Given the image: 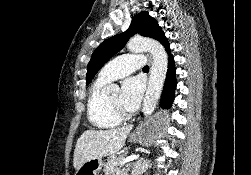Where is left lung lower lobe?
I'll list each match as a JSON object with an SVG mask.
<instances>
[{
	"label": "left lung lower lobe",
	"mask_w": 251,
	"mask_h": 175,
	"mask_svg": "<svg viewBox=\"0 0 251 175\" xmlns=\"http://www.w3.org/2000/svg\"><path fill=\"white\" fill-rule=\"evenodd\" d=\"M158 41L165 47L166 51L169 54L168 73L166 76V80H165V84H164V88H163V92H162V96L160 100V107L163 109H169L173 103L174 92L176 89V69L174 66V59L170 53L171 51H170L169 43L165 35L162 36ZM168 118H169V115L167 113H162L160 115V119L162 120H167Z\"/></svg>",
	"instance_id": "1"
}]
</instances>
